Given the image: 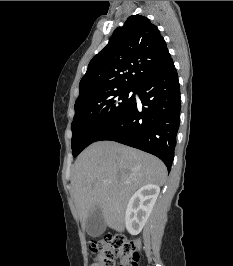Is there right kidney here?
I'll use <instances>...</instances> for the list:
<instances>
[{
	"label": "right kidney",
	"instance_id": "obj_1",
	"mask_svg": "<svg viewBox=\"0 0 233 266\" xmlns=\"http://www.w3.org/2000/svg\"><path fill=\"white\" fill-rule=\"evenodd\" d=\"M159 192V186L147 184L132 195L125 214V224L130 234L140 233L150 216Z\"/></svg>",
	"mask_w": 233,
	"mask_h": 266
}]
</instances>
